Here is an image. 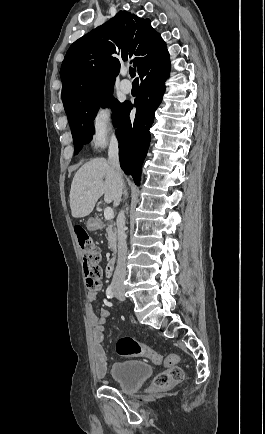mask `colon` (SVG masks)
<instances>
[{"label":"colon","mask_w":265,"mask_h":434,"mask_svg":"<svg viewBox=\"0 0 265 434\" xmlns=\"http://www.w3.org/2000/svg\"><path fill=\"white\" fill-rule=\"evenodd\" d=\"M74 234L77 238L80 254L83 260L84 277L87 288L92 292L101 290L102 271L99 266L100 249L93 242L86 228L82 225L74 226ZM119 356H143L146 349L141 346L132 336H124L119 339L115 346ZM153 360L162 364L167 369L157 374L153 381L152 388L157 391H167L172 389L177 383L183 380V370L176 366L177 357H163L160 354H153Z\"/></svg>","instance_id":"colon-1"}]
</instances>
